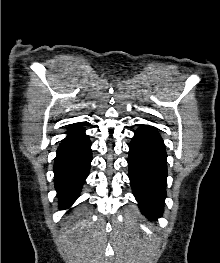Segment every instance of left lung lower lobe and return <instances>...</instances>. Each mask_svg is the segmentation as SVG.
<instances>
[{
    "label": "left lung lower lobe",
    "mask_w": 220,
    "mask_h": 263,
    "mask_svg": "<svg viewBox=\"0 0 220 263\" xmlns=\"http://www.w3.org/2000/svg\"><path fill=\"white\" fill-rule=\"evenodd\" d=\"M167 154L157 129L141 125L129 146V178L142 213L155 219L163 212L166 196Z\"/></svg>",
    "instance_id": "1"
}]
</instances>
